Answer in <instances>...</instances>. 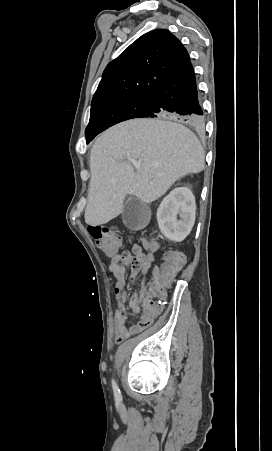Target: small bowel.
Segmentation results:
<instances>
[{
	"mask_svg": "<svg viewBox=\"0 0 272 451\" xmlns=\"http://www.w3.org/2000/svg\"><path fill=\"white\" fill-rule=\"evenodd\" d=\"M155 250H156V247L154 246L153 243H152V247L150 249H144L142 247V242H141V243H135L131 247L130 252H138L139 256H146L147 261H150L151 266H152V264L155 261V257H154ZM126 252H128V251H126ZM108 271L111 273L110 265H108ZM147 272H148V270H147ZM112 275L116 279V283L113 287V294H114V299H115V303H116V309H115V314H114V328H115L116 332L119 333V332H121L122 323H123L122 313H123V311H126L125 310V290H124L125 286H126V274H112ZM136 281H137V274H132L130 277V284L134 286L136 284ZM137 297H138L137 294L134 293L130 300L131 306L133 304H135ZM144 316H145V313H144L143 317Z\"/></svg>",
	"mask_w": 272,
	"mask_h": 451,
	"instance_id": "obj_1",
	"label": "small bowel"
}]
</instances>
